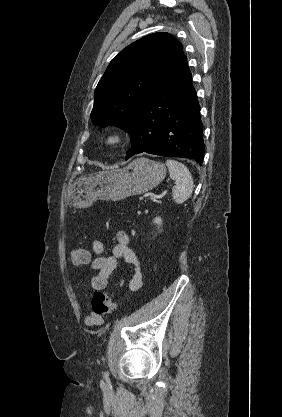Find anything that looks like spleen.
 <instances>
[{"label": "spleen", "instance_id": "3e777b00", "mask_svg": "<svg viewBox=\"0 0 282 417\" xmlns=\"http://www.w3.org/2000/svg\"><path fill=\"white\" fill-rule=\"evenodd\" d=\"M165 164L168 166L169 174L172 180H176V184L172 188V196L175 202L182 204L184 200L189 198L193 190L194 184L191 172L185 164L178 162V160H172V158H168Z\"/></svg>", "mask_w": 282, "mask_h": 417}]
</instances>
